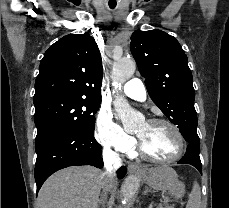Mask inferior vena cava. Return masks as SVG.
Listing matches in <instances>:
<instances>
[{
  "mask_svg": "<svg viewBox=\"0 0 229 208\" xmlns=\"http://www.w3.org/2000/svg\"><path fill=\"white\" fill-rule=\"evenodd\" d=\"M103 160H104V168L105 172L102 174L103 182L102 188L107 190V188H111V184H108L107 180H113V172L116 164H121L120 158H118L115 152H110V150H104L103 152Z\"/></svg>",
  "mask_w": 229,
  "mask_h": 208,
  "instance_id": "obj_1",
  "label": "inferior vena cava"
}]
</instances>
